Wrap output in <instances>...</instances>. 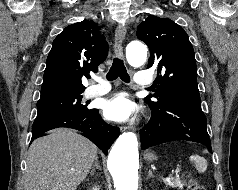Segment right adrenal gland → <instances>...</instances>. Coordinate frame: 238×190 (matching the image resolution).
<instances>
[{"label":"right adrenal gland","instance_id":"1","mask_svg":"<svg viewBox=\"0 0 238 190\" xmlns=\"http://www.w3.org/2000/svg\"><path fill=\"white\" fill-rule=\"evenodd\" d=\"M95 169L101 170V167L98 162V157L95 158L94 165L90 171V175H94Z\"/></svg>","mask_w":238,"mask_h":190}]
</instances>
